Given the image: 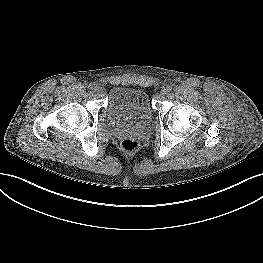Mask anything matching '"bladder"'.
I'll use <instances>...</instances> for the list:
<instances>
[{
    "label": "bladder",
    "instance_id": "31cf9c89",
    "mask_svg": "<svg viewBox=\"0 0 263 263\" xmlns=\"http://www.w3.org/2000/svg\"><path fill=\"white\" fill-rule=\"evenodd\" d=\"M107 114L117 127L127 128L144 126L153 111L145 91L117 86L110 91Z\"/></svg>",
    "mask_w": 263,
    "mask_h": 263
}]
</instances>
